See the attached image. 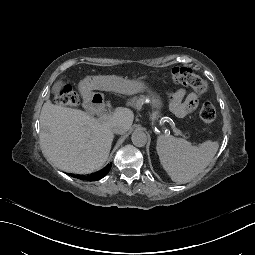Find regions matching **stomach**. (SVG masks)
Wrapping results in <instances>:
<instances>
[{"label":"stomach","mask_w":255,"mask_h":255,"mask_svg":"<svg viewBox=\"0 0 255 255\" xmlns=\"http://www.w3.org/2000/svg\"><path fill=\"white\" fill-rule=\"evenodd\" d=\"M108 88L112 92H117L121 91L124 94H136V93H142L145 90H147L146 85L144 82H142L139 79H134V80H117V79H112L108 83ZM151 106L154 109H159L162 105L160 98L155 95L151 94Z\"/></svg>","instance_id":"0dacf381"}]
</instances>
